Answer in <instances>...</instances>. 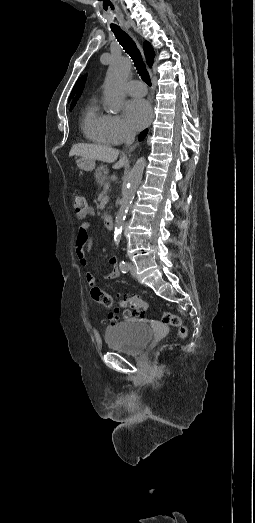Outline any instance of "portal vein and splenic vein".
<instances>
[{
	"instance_id": "1",
	"label": "portal vein and splenic vein",
	"mask_w": 255,
	"mask_h": 523,
	"mask_svg": "<svg viewBox=\"0 0 255 523\" xmlns=\"http://www.w3.org/2000/svg\"><path fill=\"white\" fill-rule=\"evenodd\" d=\"M102 186H103V191L100 192V195L101 196H106L107 192H108V188H109V183L107 181H104L102 183Z\"/></svg>"
}]
</instances>
